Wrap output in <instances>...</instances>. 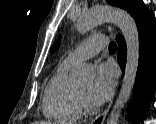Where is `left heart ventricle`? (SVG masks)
Listing matches in <instances>:
<instances>
[{
	"label": "left heart ventricle",
	"instance_id": "b2bd125f",
	"mask_svg": "<svg viewBox=\"0 0 156 124\" xmlns=\"http://www.w3.org/2000/svg\"><path fill=\"white\" fill-rule=\"evenodd\" d=\"M91 87H92V82L91 81H88V82H85L83 84H81L79 86V88L90 98V100L92 101L91 99ZM93 102V101H92Z\"/></svg>",
	"mask_w": 156,
	"mask_h": 124
}]
</instances>
